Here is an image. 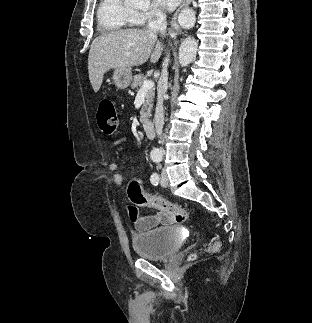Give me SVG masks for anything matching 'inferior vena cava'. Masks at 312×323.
I'll return each instance as SVG.
<instances>
[{
	"instance_id": "602c4592",
	"label": "inferior vena cava",
	"mask_w": 312,
	"mask_h": 323,
	"mask_svg": "<svg viewBox=\"0 0 312 323\" xmlns=\"http://www.w3.org/2000/svg\"><path fill=\"white\" fill-rule=\"evenodd\" d=\"M166 14H163V12H154V20H150L149 22V28L150 30H156V32H160V34H166ZM169 64V56L165 58L163 64H162V72H161V78L158 82V96H157V108L155 112V130L158 138L162 136L163 132V126H164V108H163V102H164V94L167 92L168 88V66Z\"/></svg>"
}]
</instances>
